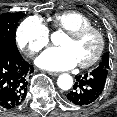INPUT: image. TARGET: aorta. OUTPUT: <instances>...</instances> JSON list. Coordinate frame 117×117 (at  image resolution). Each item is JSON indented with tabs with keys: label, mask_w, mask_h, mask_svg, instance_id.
Listing matches in <instances>:
<instances>
[{
	"label": "aorta",
	"mask_w": 117,
	"mask_h": 117,
	"mask_svg": "<svg viewBox=\"0 0 117 117\" xmlns=\"http://www.w3.org/2000/svg\"><path fill=\"white\" fill-rule=\"evenodd\" d=\"M57 85L62 90H69L73 85V78L69 74H62L58 77Z\"/></svg>",
	"instance_id": "762f6f07"
}]
</instances>
